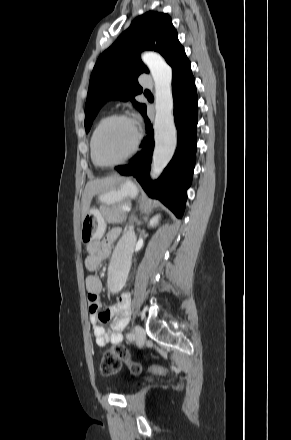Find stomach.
<instances>
[{"label":"stomach","mask_w":291,"mask_h":440,"mask_svg":"<svg viewBox=\"0 0 291 440\" xmlns=\"http://www.w3.org/2000/svg\"><path fill=\"white\" fill-rule=\"evenodd\" d=\"M137 195V186L129 179H122L112 189L98 193V201L108 206L117 205ZM105 227L100 211L95 208L89 209L82 219L81 240L86 243L93 241L103 235Z\"/></svg>","instance_id":"stomach-1"}]
</instances>
